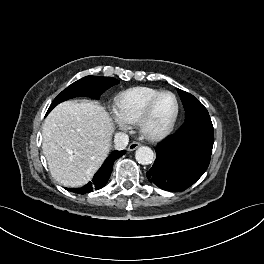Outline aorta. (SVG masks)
<instances>
[{
	"mask_svg": "<svg viewBox=\"0 0 264 264\" xmlns=\"http://www.w3.org/2000/svg\"><path fill=\"white\" fill-rule=\"evenodd\" d=\"M135 158L138 163L148 165L152 163L154 159V153L151 148L147 146H142L136 150Z\"/></svg>",
	"mask_w": 264,
	"mask_h": 264,
	"instance_id": "1",
	"label": "aorta"
}]
</instances>
